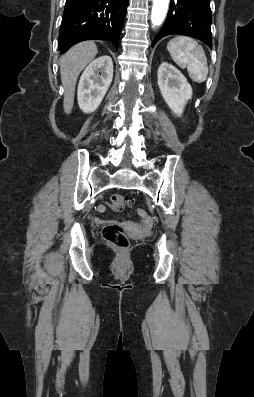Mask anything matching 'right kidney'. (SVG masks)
<instances>
[{
	"label": "right kidney",
	"mask_w": 254,
	"mask_h": 397,
	"mask_svg": "<svg viewBox=\"0 0 254 397\" xmlns=\"http://www.w3.org/2000/svg\"><path fill=\"white\" fill-rule=\"evenodd\" d=\"M113 78V62L104 55L92 61L81 75L78 104L85 113L95 111L103 100Z\"/></svg>",
	"instance_id": "right-kidney-1"
}]
</instances>
